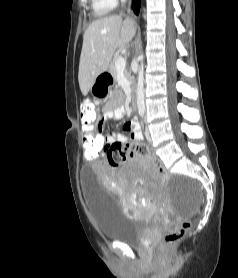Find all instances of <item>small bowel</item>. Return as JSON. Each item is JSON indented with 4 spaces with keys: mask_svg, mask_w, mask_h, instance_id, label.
Segmentation results:
<instances>
[{
    "mask_svg": "<svg viewBox=\"0 0 238 278\" xmlns=\"http://www.w3.org/2000/svg\"><path fill=\"white\" fill-rule=\"evenodd\" d=\"M125 113V108L122 105H119L115 108H111L109 106L106 107L104 113H103V119L102 121H107V120H111V121H116L119 120L123 117ZM102 126V125H98L95 129L96 132H94V134H96L99 137H103V154H106V147L110 144L113 143H119V144H123L128 142L129 140H135V141H140L143 138L142 135V131L140 128L139 123L137 122L136 119H131L129 121H127L124 125H123V130L125 132H130V137L125 136L123 133H117L115 135H110V136H104L103 134H99L98 133V127ZM83 143H84V137H83ZM99 153V154H102ZM142 163L147 164L146 162L142 161Z\"/></svg>",
    "mask_w": 238,
    "mask_h": 278,
    "instance_id": "1",
    "label": "small bowel"
}]
</instances>
